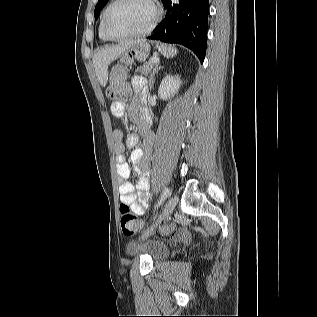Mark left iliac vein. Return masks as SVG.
Here are the masks:
<instances>
[{
    "mask_svg": "<svg viewBox=\"0 0 317 317\" xmlns=\"http://www.w3.org/2000/svg\"><path fill=\"white\" fill-rule=\"evenodd\" d=\"M175 206H176V198L175 197H171L165 204L161 214L159 215L158 219L156 220V222L154 223V225L147 229L145 231V233L143 234V238H147L149 237L153 231H154V228L160 224L162 221H165L169 218V216L173 213L174 209H175Z\"/></svg>",
    "mask_w": 317,
    "mask_h": 317,
    "instance_id": "obj_1",
    "label": "left iliac vein"
}]
</instances>
